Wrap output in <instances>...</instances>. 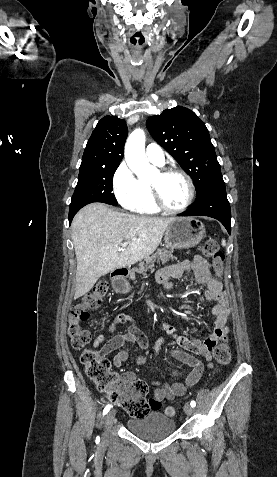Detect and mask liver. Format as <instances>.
Returning a JSON list of instances; mask_svg holds the SVG:
<instances>
[{
	"instance_id": "obj_1",
	"label": "liver",
	"mask_w": 277,
	"mask_h": 477,
	"mask_svg": "<svg viewBox=\"0 0 277 477\" xmlns=\"http://www.w3.org/2000/svg\"><path fill=\"white\" fill-rule=\"evenodd\" d=\"M174 219L118 212L102 203L82 208L71 225L77 258L74 299L89 292L101 276L149 257ZM123 240L129 245L120 251Z\"/></svg>"
}]
</instances>
